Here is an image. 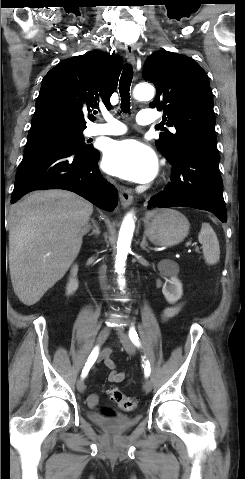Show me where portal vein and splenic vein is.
<instances>
[{
    "instance_id": "obj_1",
    "label": "portal vein and splenic vein",
    "mask_w": 245,
    "mask_h": 479,
    "mask_svg": "<svg viewBox=\"0 0 245 479\" xmlns=\"http://www.w3.org/2000/svg\"><path fill=\"white\" fill-rule=\"evenodd\" d=\"M185 246H186V247H190V246H191V243H190V242H187V243L185 244Z\"/></svg>"
}]
</instances>
